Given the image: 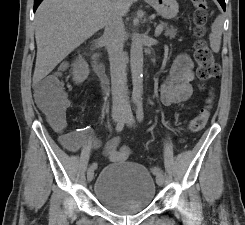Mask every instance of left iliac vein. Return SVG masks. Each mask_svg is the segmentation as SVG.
Segmentation results:
<instances>
[{"label":"left iliac vein","mask_w":245,"mask_h":225,"mask_svg":"<svg viewBox=\"0 0 245 225\" xmlns=\"http://www.w3.org/2000/svg\"><path fill=\"white\" fill-rule=\"evenodd\" d=\"M134 122H135V120H134L133 114L131 112V109L129 106H127L126 110H125V123L128 126H133ZM156 182L159 186H162L164 183V176L160 175V176L156 177Z\"/></svg>","instance_id":"obj_1"}]
</instances>
